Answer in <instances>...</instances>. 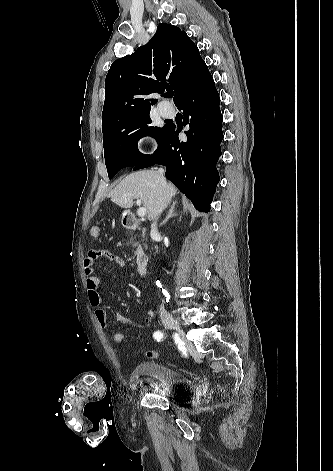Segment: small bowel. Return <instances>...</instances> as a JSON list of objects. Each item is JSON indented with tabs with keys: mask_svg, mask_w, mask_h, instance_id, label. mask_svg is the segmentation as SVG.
<instances>
[{
	"mask_svg": "<svg viewBox=\"0 0 333 471\" xmlns=\"http://www.w3.org/2000/svg\"><path fill=\"white\" fill-rule=\"evenodd\" d=\"M98 259H105L121 267L125 266V262L121 257L106 249L90 250L83 262L89 303L94 308V315L98 324L101 328L106 329L108 327L107 313L100 307L101 295L98 290L100 278L94 273V264ZM127 296L129 297L130 293H127ZM116 322L131 324L133 321L131 317L118 313L116 315ZM150 322L151 318L147 317L145 319V324L148 325Z\"/></svg>",
	"mask_w": 333,
	"mask_h": 471,
	"instance_id": "small-bowel-1",
	"label": "small bowel"
}]
</instances>
